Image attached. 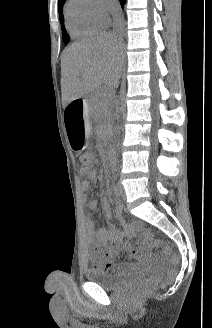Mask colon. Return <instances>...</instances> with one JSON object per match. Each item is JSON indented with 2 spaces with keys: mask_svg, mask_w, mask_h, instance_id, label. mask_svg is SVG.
<instances>
[{
  "mask_svg": "<svg viewBox=\"0 0 212 328\" xmlns=\"http://www.w3.org/2000/svg\"><path fill=\"white\" fill-rule=\"evenodd\" d=\"M81 161L83 162L80 166V173H93L94 167L89 165L91 161V155L85 153L81 156ZM140 236L145 239L148 243L153 244L155 246H159L163 248L165 255L167 256L168 261L175 265L178 263V256L168 247L163 241L159 238L153 236L151 230L149 229H141Z\"/></svg>",
  "mask_w": 212,
  "mask_h": 328,
  "instance_id": "obj_1",
  "label": "colon"
}]
</instances>
